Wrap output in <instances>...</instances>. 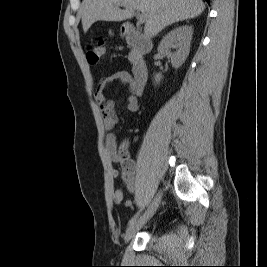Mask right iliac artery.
I'll use <instances>...</instances> for the list:
<instances>
[{"mask_svg":"<svg viewBox=\"0 0 267 267\" xmlns=\"http://www.w3.org/2000/svg\"><path fill=\"white\" fill-rule=\"evenodd\" d=\"M140 212H137L128 222V226H131L132 224H134L139 216Z\"/></svg>","mask_w":267,"mask_h":267,"instance_id":"obj_1","label":"right iliac artery"}]
</instances>
